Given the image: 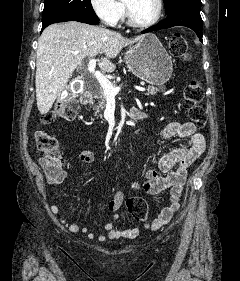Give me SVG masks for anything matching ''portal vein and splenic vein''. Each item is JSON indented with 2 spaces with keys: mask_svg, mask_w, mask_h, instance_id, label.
I'll return each instance as SVG.
<instances>
[{
  "mask_svg": "<svg viewBox=\"0 0 240 281\" xmlns=\"http://www.w3.org/2000/svg\"><path fill=\"white\" fill-rule=\"evenodd\" d=\"M96 60L90 59L88 63V71L92 73L97 79L98 83L103 89V92L107 98H114L121 90L120 86H113L111 82L100 72L95 70ZM138 91L144 92L146 89L143 87H136Z\"/></svg>",
  "mask_w": 240,
  "mask_h": 281,
  "instance_id": "1",
  "label": "portal vein and splenic vein"
}]
</instances>
